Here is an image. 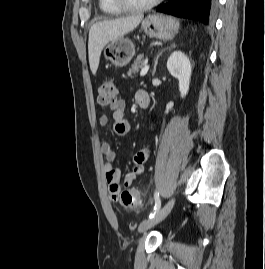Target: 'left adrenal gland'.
I'll return each instance as SVG.
<instances>
[{"mask_svg":"<svg viewBox=\"0 0 265 269\" xmlns=\"http://www.w3.org/2000/svg\"><path fill=\"white\" fill-rule=\"evenodd\" d=\"M176 45L175 43H173L169 48H175ZM168 49V48H166ZM166 49H163L162 51H160L155 59V62H154V68H153V72H152V75L154 76L155 75V72H156V68H157V64H158V59L159 57L162 55V53L166 50Z\"/></svg>","mask_w":265,"mask_h":269,"instance_id":"a2214340","label":"left adrenal gland"}]
</instances>
